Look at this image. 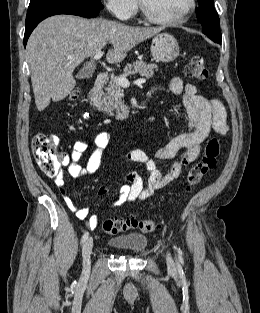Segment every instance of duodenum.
<instances>
[{"label": "duodenum", "mask_w": 260, "mask_h": 313, "mask_svg": "<svg viewBox=\"0 0 260 313\" xmlns=\"http://www.w3.org/2000/svg\"><path fill=\"white\" fill-rule=\"evenodd\" d=\"M106 83L107 77L104 73H100L96 76L93 86L87 95V103L91 110L95 109L96 103L99 99V94L101 90L105 87Z\"/></svg>", "instance_id": "obj_1"}]
</instances>
